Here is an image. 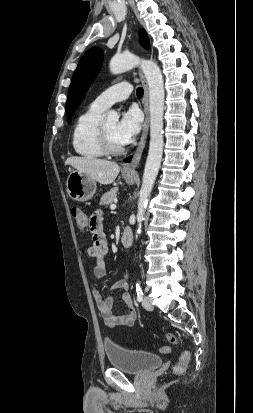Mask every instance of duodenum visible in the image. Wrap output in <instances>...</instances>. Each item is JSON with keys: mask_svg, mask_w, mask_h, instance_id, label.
Segmentation results:
<instances>
[{"mask_svg": "<svg viewBox=\"0 0 253 413\" xmlns=\"http://www.w3.org/2000/svg\"><path fill=\"white\" fill-rule=\"evenodd\" d=\"M132 239V231L129 228H125L121 236V242L125 249H128L131 246Z\"/></svg>", "mask_w": 253, "mask_h": 413, "instance_id": "duodenum-1", "label": "duodenum"}]
</instances>
